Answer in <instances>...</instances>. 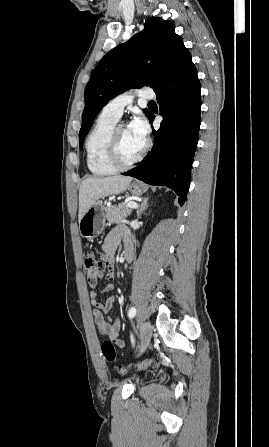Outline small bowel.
Returning <instances> with one entry per match:
<instances>
[{"label": "small bowel", "instance_id": "c3829d8e", "mask_svg": "<svg viewBox=\"0 0 269 447\" xmlns=\"http://www.w3.org/2000/svg\"><path fill=\"white\" fill-rule=\"evenodd\" d=\"M122 229L114 228L112 229L107 237L104 240L102 245L103 251L107 255H112L116 247L121 239ZM125 250L133 251V245L129 239V237L125 238ZM107 278L112 281L114 275L109 273ZM114 289L113 283H109L105 287V291H112ZM115 302L114 296H108L106 299L101 302L97 298V294L95 292L91 293L90 303L94 307L92 312L93 318L96 322L97 328L100 334L108 336L118 347L123 348L125 346V342L123 339L119 337L121 331V320L119 317H115L112 320H109L105 317L106 314L110 312Z\"/></svg>", "mask_w": 269, "mask_h": 447}]
</instances>
